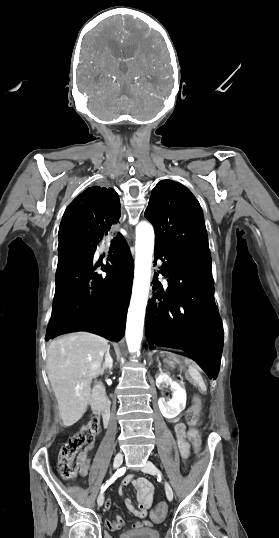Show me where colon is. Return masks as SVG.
I'll return each mask as SVG.
<instances>
[{"instance_id":"colon-1","label":"colon","mask_w":279,"mask_h":538,"mask_svg":"<svg viewBox=\"0 0 279 538\" xmlns=\"http://www.w3.org/2000/svg\"><path fill=\"white\" fill-rule=\"evenodd\" d=\"M201 413V401L196 398L193 401L187 413V422L190 426L188 436L193 443L195 450L198 454L202 451V438L199 434L196 426L199 422ZM102 429L101 423L97 417H92L87 424H85L78 432L72 435L62 446L59 453V466L63 477L74 478L78 474H81V469L78 464L74 463L76 456L84 445L90 444L95 436L100 433ZM168 511L166 503H158L152 512V518L155 521L162 520Z\"/></svg>"}]
</instances>
